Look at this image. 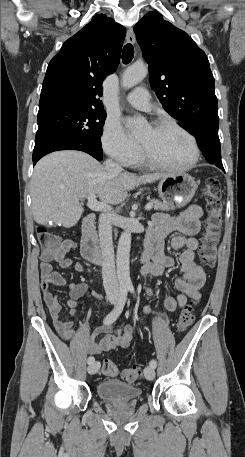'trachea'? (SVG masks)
Wrapping results in <instances>:
<instances>
[{"instance_id": "obj_1", "label": "trachea", "mask_w": 245, "mask_h": 457, "mask_svg": "<svg viewBox=\"0 0 245 457\" xmlns=\"http://www.w3.org/2000/svg\"><path fill=\"white\" fill-rule=\"evenodd\" d=\"M134 57V49H133V46L130 44V43H127V45H125L123 47V51H122V61L124 64H128L131 62V60L133 59Z\"/></svg>"}]
</instances>
